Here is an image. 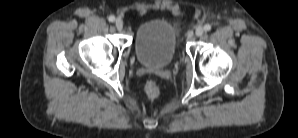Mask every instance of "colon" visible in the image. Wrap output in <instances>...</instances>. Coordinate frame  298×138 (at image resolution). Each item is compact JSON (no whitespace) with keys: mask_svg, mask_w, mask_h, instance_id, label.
I'll list each match as a JSON object with an SVG mask.
<instances>
[{"mask_svg":"<svg viewBox=\"0 0 298 138\" xmlns=\"http://www.w3.org/2000/svg\"><path fill=\"white\" fill-rule=\"evenodd\" d=\"M145 94L150 100L157 98L159 94V87L154 81H148L145 85Z\"/></svg>","mask_w":298,"mask_h":138,"instance_id":"obj_1","label":"colon"}]
</instances>
